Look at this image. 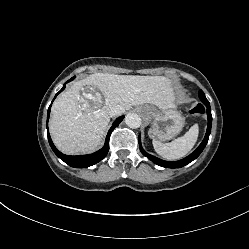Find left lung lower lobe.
I'll use <instances>...</instances> for the list:
<instances>
[{"label": "left lung lower lobe", "instance_id": "1", "mask_svg": "<svg viewBox=\"0 0 249 249\" xmlns=\"http://www.w3.org/2000/svg\"><path fill=\"white\" fill-rule=\"evenodd\" d=\"M202 103L207 107V116H208V127H207V131L205 134V137L202 141V143L199 145V147L193 152L191 153L189 156L185 157L184 159H181L179 161H164L161 160L155 156H152L148 153H146L144 151V149L141 146V141H140V136H139V146H140V151L142 152L143 155H145L148 159H150L153 163L165 167V168H180L183 167L187 164H189L190 162H192L193 160H195L203 151V149L205 148L208 139H209V135L211 132V124H212V115H211V108H210V104L208 102V100L206 99L205 95L200 97Z\"/></svg>", "mask_w": 249, "mask_h": 249}]
</instances>
